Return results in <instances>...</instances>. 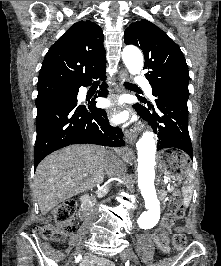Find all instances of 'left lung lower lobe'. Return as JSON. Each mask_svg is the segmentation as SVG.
Here are the masks:
<instances>
[{
	"mask_svg": "<svg viewBox=\"0 0 221 266\" xmlns=\"http://www.w3.org/2000/svg\"><path fill=\"white\" fill-rule=\"evenodd\" d=\"M152 94L156 98L155 106L145 98L138 97L140 101L148 104V108L138 103L133 107L142 118L151 123L159 139L157 150L180 149L193 159V149L188 132V98L153 88ZM154 107L159 110V114L155 113ZM151 108L154 114L150 113Z\"/></svg>",
	"mask_w": 221,
	"mask_h": 266,
	"instance_id": "left-lung-lower-lobe-1",
	"label": "left lung lower lobe"
}]
</instances>
